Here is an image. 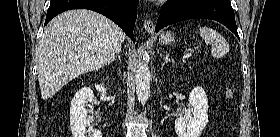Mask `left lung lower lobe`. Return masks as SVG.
Segmentation results:
<instances>
[{
	"label": "left lung lower lobe",
	"instance_id": "1",
	"mask_svg": "<svg viewBox=\"0 0 280 137\" xmlns=\"http://www.w3.org/2000/svg\"><path fill=\"white\" fill-rule=\"evenodd\" d=\"M212 19L225 25L238 39L237 26L230 0H174L160 12L155 31L186 19Z\"/></svg>",
	"mask_w": 280,
	"mask_h": 137
}]
</instances>
